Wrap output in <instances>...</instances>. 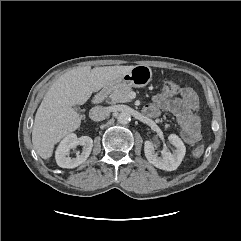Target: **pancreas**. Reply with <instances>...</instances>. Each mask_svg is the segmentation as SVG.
<instances>
[{
	"instance_id": "pancreas-1",
	"label": "pancreas",
	"mask_w": 241,
	"mask_h": 241,
	"mask_svg": "<svg viewBox=\"0 0 241 241\" xmlns=\"http://www.w3.org/2000/svg\"><path fill=\"white\" fill-rule=\"evenodd\" d=\"M131 91H132V88L128 86L114 90L109 96L111 99V103L116 104V103L130 102L131 99L129 98V93Z\"/></svg>"
}]
</instances>
